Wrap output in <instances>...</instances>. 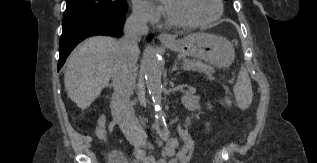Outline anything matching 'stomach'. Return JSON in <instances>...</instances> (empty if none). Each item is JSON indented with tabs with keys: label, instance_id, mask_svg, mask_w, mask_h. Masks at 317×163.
Returning <instances> with one entry per match:
<instances>
[{
	"label": "stomach",
	"instance_id": "obj_1",
	"mask_svg": "<svg viewBox=\"0 0 317 163\" xmlns=\"http://www.w3.org/2000/svg\"><path fill=\"white\" fill-rule=\"evenodd\" d=\"M163 44L182 55L203 59L218 67H228L234 61L233 45L227 39L214 34H190L183 39Z\"/></svg>",
	"mask_w": 317,
	"mask_h": 163
}]
</instances>
